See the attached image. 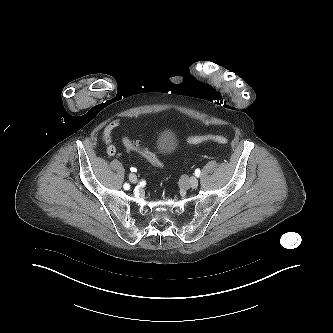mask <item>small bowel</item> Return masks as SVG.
<instances>
[{
	"instance_id": "1",
	"label": "small bowel",
	"mask_w": 333,
	"mask_h": 333,
	"mask_svg": "<svg viewBox=\"0 0 333 333\" xmlns=\"http://www.w3.org/2000/svg\"><path fill=\"white\" fill-rule=\"evenodd\" d=\"M121 124L120 119H114L109 122L103 131L102 140L105 144V150L108 156H114L116 153V148L112 143V133L116 128H118Z\"/></svg>"
}]
</instances>
